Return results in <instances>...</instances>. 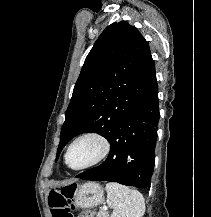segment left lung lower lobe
<instances>
[{
    "instance_id": "1",
    "label": "left lung lower lobe",
    "mask_w": 211,
    "mask_h": 217,
    "mask_svg": "<svg viewBox=\"0 0 211 217\" xmlns=\"http://www.w3.org/2000/svg\"><path fill=\"white\" fill-rule=\"evenodd\" d=\"M158 85L114 127L106 161L79 175L85 180L150 188L159 122Z\"/></svg>"
}]
</instances>
